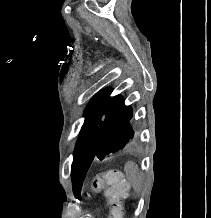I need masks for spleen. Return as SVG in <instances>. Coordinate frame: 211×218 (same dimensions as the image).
Returning a JSON list of instances; mask_svg holds the SVG:
<instances>
[{
	"mask_svg": "<svg viewBox=\"0 0 211 218\" xmlns=\"http://www.w3.org/2000/svg\"><path fill=\"white\" fill-rule=\"evenodd\" d=\"M125 172L127 180L132 184L134 192L140 194L142 190V174H140L137 164H134V162H127Z\"/></svg>",
	"mask_w": 211,
	"mask_h": 218,
	"instance_id": "obj_1",
	"label": "spleen"
}]
</instances>
